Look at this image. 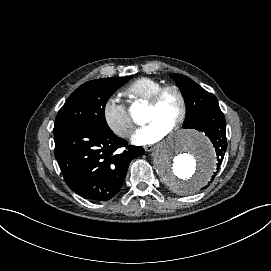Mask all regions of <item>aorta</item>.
Wrapping results in <instances>:
<instances>
[{
  "label": "aorta",
  "mask_w": 271,
  "mask_h": 271,
  "mask_svg": "<svg viewBox=\"0 0 271 271\" xmlns=\"http://www.w3.org/2000/svg\"><path fill=\"white\" fill-rule=\"evenodd\" d=\"M132 118L142 122V109H134ZM153 164L161 180L171 191L187 195L206 185L216 168V156L204 135L196 131L181 130L156 147Z\"/></svg>",
  "instance_id": "1"
}]
</instances>
